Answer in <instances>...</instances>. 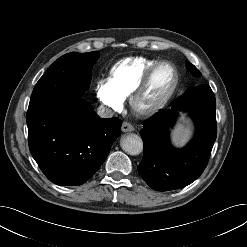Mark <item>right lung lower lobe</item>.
<instances>
[{
  "label": "right lung lower lobe",
  "mask_w": 247,
  "mask_h": 247,
  "mask_svg": "<svg viewBox=\"0 0 247 247\" xmlns=\"http://www.w3.org/2000/svg\"><path fill=\"white\" fill-rule=\"evenodd\" d=\"M121 125L117 118H100L81 97L42 99L27 111L30 152L57 185L89 180L120 136Z\"/></svg>",
  "instance_id": "1"
}]
</instances>
